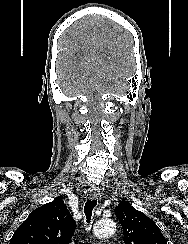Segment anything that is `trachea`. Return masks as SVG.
Wrapping results in <instances>:
<instances>
[{"mask_svg":"<svg viewBox=\"0 0 188 244\" xmlns=\"http://www.w3.org/2000/svg\"><path fill=\"white\" fill-rule=\"evenodd\" d=\"M97 205V200H90L88 199L85 203V206H84V214L86 216V220H87V223L89 224L90 223V220H91V217H92V211L93 209L95 208V206Z\"/></svg>","mask_w":188,"mask_h":244,"instance_id":"trachea-1","label":"trachea"}]
</instances>
